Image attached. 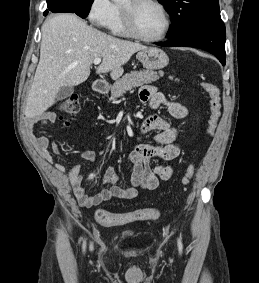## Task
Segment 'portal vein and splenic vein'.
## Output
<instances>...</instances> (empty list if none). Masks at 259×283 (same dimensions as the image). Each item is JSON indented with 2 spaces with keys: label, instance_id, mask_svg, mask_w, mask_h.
Returning a JSON list of instances; mask_svg holds the SVG:
<instances>
[{
  "label": "portal vein and splenic vein",
  "instance_id": "1",
  "mask_svg": "<svg viewBox=\"0 0 259 283\" xmlns=\"http://www.w3.org/2000/svg\"><path fill=\"white\" fill-rule=\"evenodd\" d=\"M100 62H101V58H96V59H94V64H95V65L100 64Z\"/></svg>",
  "mask_w": 259,
  "mask_h": 283
}]
</instances>
